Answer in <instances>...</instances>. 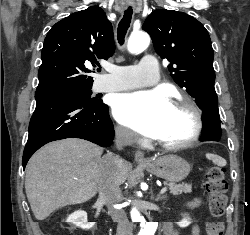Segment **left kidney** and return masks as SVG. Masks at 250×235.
<instances>
[{
  "label": "left kidney",
  "instance_id": "1",
  "mask_svg": "<svg viewBox=\"0 0 250 235\" xmlns=\"http://www.w3.org/2000/svg\"><path fill=\"white\" fill-rule=\"evenodd\" d=\"M179 227L186 228L191 224V220L189 217H184L180 222L177 223Z\"/></svg>",
  "mask_w": 250,
  "mask_h": 235
}]
</instances>
